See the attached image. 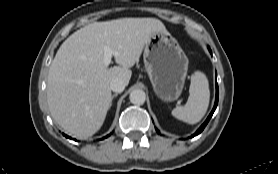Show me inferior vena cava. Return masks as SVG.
Listing matches in <instances>:
<instances>
[{"label":"inferior vena cava","mask_w":278,"mask_h":174,"mask_svg":"<svg viewBox=\"0 0 278 174\" xmlns=\"http://www.w3.org/2000/svg\"><path fill=\"white\" fill-rule=\"evenodd\" d=\"M110 88L112 91L120 93L124 90L125 83L121 79L115 78L110 82Z\"/></svg>","instance_id":"602c4592"}]
</instances>
